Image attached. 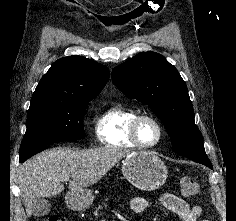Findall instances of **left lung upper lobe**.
<instances>
[{"label": "left lung upper lobe", "instance_id": "obj_1", "mask_svg": "<svg viewBox=\"0 0 236 221\" xmlns=\"http://www.w3.org/2000/svg\"><path fill=\"white\" fill-rule=\"evenodd\" d=\"M112 79L125 95L148 105L162 120L177 154L213 168L194 122L186 83L165 57L139 53L115 67Z\"/></svg>", "mask_w": 236, "mask_h": 221}]
</instances>
